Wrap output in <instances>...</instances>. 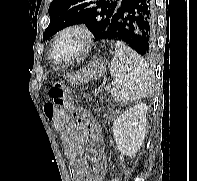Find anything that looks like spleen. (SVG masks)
Wrapping results in <instances>:
<instances>
[{"instance_id": "obj_1", "label": "spleen", "mask_w": 197, "mask_h": 181, "mask_svg": "<svg viewBox=\"0 0 197 181\" xmlns=\"http://www.w3.org/2000/svg\"><path fill=\"white\" fill-rule=\"evenodd\" d=\"M111 95L115 101L140 100L152 94L154 74L144 59L124 42H116L110 64Z\"/></svg>"}]
</instances>
